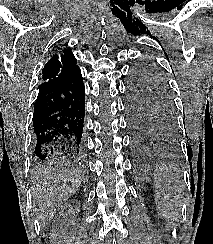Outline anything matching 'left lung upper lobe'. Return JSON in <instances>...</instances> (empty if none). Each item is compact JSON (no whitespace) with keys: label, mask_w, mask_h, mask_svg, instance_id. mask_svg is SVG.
<instances>
[{"label":"left lung upper lobe","mask_w":213,"mask_h":244,"mask_svg":"<svg viewBox=\"0 0 213 244\" xmlns=\"http://www.w3.org/2000/svg\"><path fill=\"white\" fill-rule=\"evenodd\" d=\"M127 110L147 120L164 141L177 136L172 91L162 70L153 63L144 61L132 68L128 82Z\"/></svg>","instance_id":"left-lung-upper-lobe-1"}]
</instances>
